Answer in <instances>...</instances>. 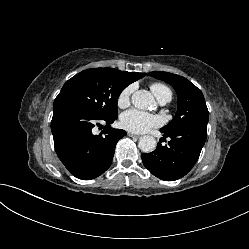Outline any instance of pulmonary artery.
Instances as JSON below:
<instances>
[{
    "mask_svg": "<svg viewBox=\"0 0 249 249\" xmlns=\"http://www.w3.org/2000/svg\"><path fill=\"white\" fill-rule=\"evenodd\" d=\"M171 98L170 96L168 95H165V96H162L160 98H158V102L161 104V105H165L167 104L168 102H170Z\"/></svg>",
    "mask_w": 249,
    "mask_h": 249,
    "instance_id": "obj_1",
    "label": "pulmonary artery"
}]
</instances>
